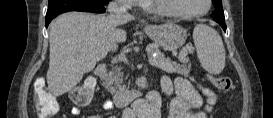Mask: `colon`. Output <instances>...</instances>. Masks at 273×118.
I'll list each match as a JSON object with an SVG mask.
<instances>
[{
  "label": "colon",
  "instance_id": "5ec220e1",
  "mask_svg": "<svg viewBox=\"0 0 273 118\" xmlns=\"http://www.w3.org/2000/svg\"><path fill=\"white\" fill-rule=\"evenodd\" d=\"M210 81L214 87L221 91L232 89V80L225 76H210ZM96 81L94 78H87L84 82L70 92V101L78 107L89 104L92 98ZM34 108L41 117H51L59 111L58 99L49 93L45 87V82L38 79L34 87Z\"/></svg>",
  "mask_w": 273,
  "mask_h": 118
}]
</instances>
